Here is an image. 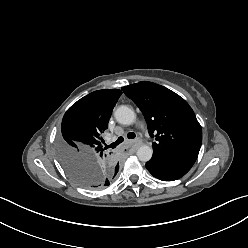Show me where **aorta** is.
Segmentation results:
<instances>
[{
  "instance_id": "1",
  "label": "aorta",
  "mask_w": 248,
  "mask_h": 248,
  "mask_svg": "<svg viewBox=\"0 0 248 248\" xmlns=\"http://www.w3.org/2000/svg\"><path fill=\"white\" fill-rule=\"evenodd\" d=\"M115 119L123 125H131L136 120V114L133 109L122 105L114 112ZM153 154L152 147L148 145H141L137 150V157L140 161L147 162L151 159Z\"/></svg>"
}]
</instances>
